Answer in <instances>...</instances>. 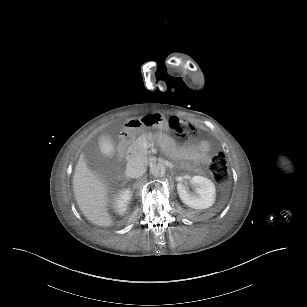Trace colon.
Wrapping results in <instances>:
<instances>
[{
	"instance_id": "1",
	"label": "colon",
	"mask_w": 307,
	"mask_h": 307,
	"mask_svg": "<svg viewBox=\"0 0 307 307\" xmlns=\"http://www.w3.org/2000/svg\"><path fill=\"white\" fill-rule=\"evenodd\" d=\"M168 125L180 142H186L189 139L194 138L198 133V130L194 125L185 122L176 116L169 118ZM209 167L214 180L217 183L223 184L227 182L229 177L228 159L225 154L218 153L210 157Z\"/></svg>"
}]
</instances>
